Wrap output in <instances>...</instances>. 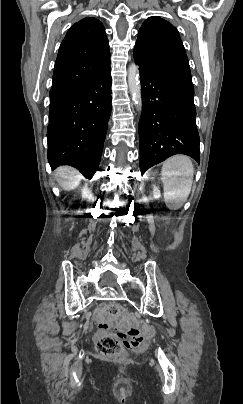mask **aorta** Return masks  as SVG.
Wrapping results in <instances>:
<instances>
[{"label": "aorta", "instance_id": "aorta-1", "mask_svg": "<svg viewBox=\"0 0 243 404\" xmlns=\"http://www.w3.org/2000/svg\"><path fill=\"white\" fill-rule=\"evenodd\" d=\"M139 70L136 64H131L128 70V86L129 92L135 102L137 110H142L141 86L138 78Z\"/></svg>", "mask_w": 243, "mask_h": 404}]
</instances>
